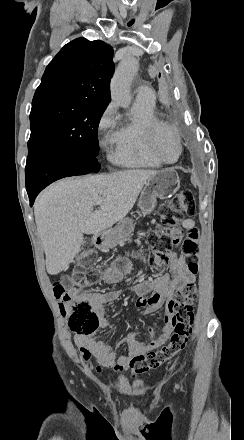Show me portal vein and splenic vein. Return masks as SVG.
<instances>
[{
  "instance_id": "portal-vein-and-splenic-vein-1",
  "label": "portal vein and splenic vein",
  "mask_w": 244,
  "mask_h": 440,
  "mask_svg": "<svg viewBox=\"0 0 244 440\" xmlns=\"http://www.w3.org/2000/svg\"><path fill=\"white\" fill-rule=\"evenodd\" d=\"M104 200L103 198H101V200H97L96 204L97 206H101V204H103Z\"/></svg>"
}]
</instances>
